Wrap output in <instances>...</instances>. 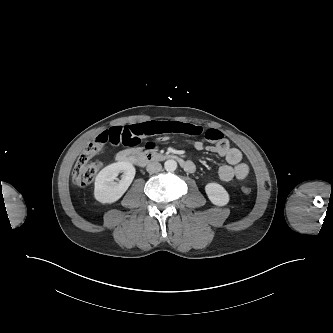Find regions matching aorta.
Wrapping results in <instances>:
<instances>
[{
	"mask_svg": "<svg viewBox=\"0 0 333 333\" xmlns=\"http://www.w3.org/2000/svg\"><path fill=\"white\" fill-rule=\"evenodd\" d=\"M164 168L169 172L175 171L177 169V162L174 159H168L164 163Z\"/></svg>",
	"mask_w": 333,
	"mask_h": 333,
	"instance_id": "aorta-1",
	"label": "aorta"
}]
</instances>
